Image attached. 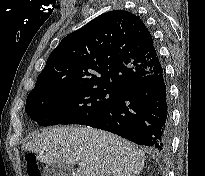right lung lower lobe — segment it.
<instances>
[{
  "label": "right lung lower lobe",
  "mask_w": 205,
  "mask_h": 176,
  "mask_svg": "<svg viewBox=\"0 0 205 176\" xmlns=\"http://www.w3.org/2000/svg\"><path fill=\"white\" fill-rule=\"evenodd\" d=\"M170 109L164 70L123 87L86 126L106 130L165 153L170 148Z\"/></svg>",
  "instance_id": "obj_1"
}]
</instances>
